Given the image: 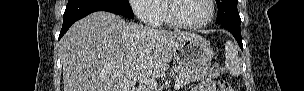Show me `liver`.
Segmentation results:
<instances>
[{
    "label": "liver",
    "instance_id": "liver-1",
    "mask_svg": "<svg viewBox=\"0 0 304 91\" xmlns=\"http://www.w3.org/2000/svg\"><path fill=\"white\" fill-rule=\"evenodd\" d=\"M190 32L127 23L98 11L74 23L60 41L64 91H134L169 68L175 48Z\"/></svg>",
    "mask_w": 304,
    "mask_h": 91
}]
</instances>
